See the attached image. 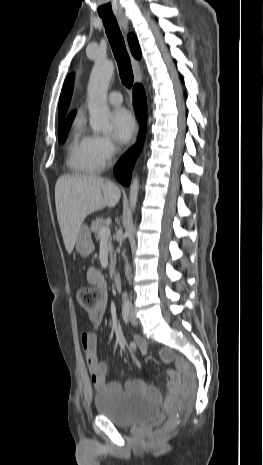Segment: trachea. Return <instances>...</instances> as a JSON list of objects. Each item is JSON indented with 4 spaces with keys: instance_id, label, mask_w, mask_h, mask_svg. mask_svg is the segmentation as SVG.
<instances>
[{
    "instance_id": "trachea-1",
    "label": "trachea",
    "mask_w": 263,
    "mask_h": 465,
    "mask_svg": "<svg viewBox=\"0 0 263 465\" xmlns=\"http://www.w3.org/2000/svg\"><path fill=\"white\" fill-rule=\"evenodd\" d=\"M101 18L117 61L121 81L127 88H131L134 81L131 61L117 20L114 16H101Z\"/></svg>"
}]
</instances>
